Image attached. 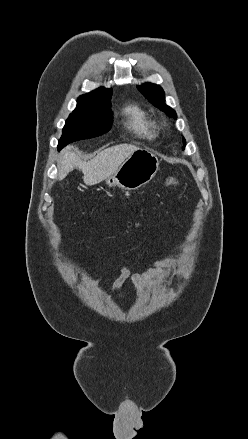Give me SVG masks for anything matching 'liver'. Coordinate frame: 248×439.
<instances>
[{
  "label": "liver",
  "mask_w": 248,
  "mask_h": 439,
  "mask_svg": "<svg viewBox=\"0 0 248 439\" xmlns=\"http://www.w3.org/2000/svg\"><path fill=\"white\" fill-rule=\"evenodd\" d=\"M139 147L132 144H119L102 150L90 161H81L77 149L68 146L61 152L58 163V179L63 180L69 172L78 168L83 172V180L92 186L113 175L121 164Z\"/></svg>",
  "instance_id": "liver-1"
}]
</instances>
